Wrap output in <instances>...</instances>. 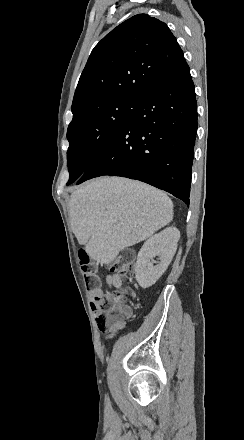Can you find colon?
<instances>
[{"label":"colon","mask_w":244,"mask_h":440,"mask_svg":"<svg viewBox=\"0 0 244 440\" xmlns=\"http://www.w3.org/2000/svg\"><path fill=\"white\" fill-rule=\"evenodd\" d=\"M81 263L80 270L83 271L87 286L85 292L94 294L97 289L99 278L97 272L99 270L98 262H84L88 259V251L82 248L79 251ZM119 260L112 264L111 270L114 273L131 274L135 271V250L134 248H120L118 251ZM125 292L107 291L103 295L96 298L97 304H92L91 310L95 319H100L101 330L111 329L126 321L129 314H132V305H125Z\"/></svg>","instance_id":"1"}]
</instances>
